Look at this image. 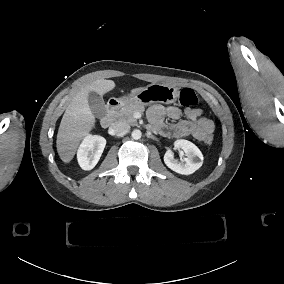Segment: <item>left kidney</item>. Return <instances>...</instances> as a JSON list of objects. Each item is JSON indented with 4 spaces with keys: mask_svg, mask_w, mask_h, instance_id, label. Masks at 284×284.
Returning a JSON list of instances; mask_svg holds the SVG:
<instances>
[{
    "mask_svg": "<svg viewBox=\"0 0 284 284\" xmlns=\"http://www.w3.org/2000/svg\"><path fill=\"white\" fill-rule=\"evenodd\" d=\"M174 147L184 151L186 159H174L172 152L168 151L164 156V163L168 168L181 175H191L203 164V154L199 148L188 140L179 139Z\"/></svg>",
    "mask_w": 284,
    "mask_h": 284,
    "instance_id": "obj_1",
    "label": "left kidney"
}]
</instances>
